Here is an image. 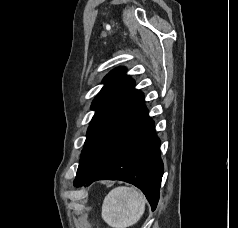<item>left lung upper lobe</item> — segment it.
Masks as SVG:
<instances>
[{"label":"left lung upper lobe","instance_id":"obj_1","mask_svg":"<svg viewBox=\"0 0 238 228\" xmlns=\"http://www.w3.org/2000/svg\"><path fill=\"white\" fill-rule=\"evenodd\" d=\"M91 108L95 110L76 176L89 175L100 164L113 140L144 99L134 89L135 82L125 76V68L111 71Z\"/></svg>","mask_w":238,"mask_h":228}]
</instances>
